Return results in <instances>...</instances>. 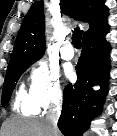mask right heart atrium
Returning <instances> with one entry per match:
<instances>
[{
  "label": "right heart atrium",
  "mask_w": 117,
  "mask_h": 136,
  "mask_svg": "<svg viewBox=\"0 0 117 136\" xmlns=\"http://www.w3.org/2000/svg\"><path fill=\"white\" fill-rule=\"evenodd\" d=\"M28 93L39 108H47L61 101L63 88L56 69L46 60H37L30 69Z\"/></svg>",
  "instance_id": "d8ad5b80"
}]
</instances>
